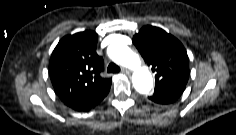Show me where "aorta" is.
I'll list each match as a JSON object with an SVG mask.
<instances>
[{"instance_id": "obj_1", "label": "aorta", "mask_w": 236, "mask_h": 135, "mask_svg": "<svg viewBox=\"0 0 236 135\" xmlns=\"http://www.w3.org/2000/svg\"><path fill=\"white\" fill-rule=\"evenodd\" d=\"M108 55L115 63L133 70L132 82L137 92H150L153 87L152 75L134 51L126 45L115 44L108 48Z\"/></svg>"}]
</instances>
